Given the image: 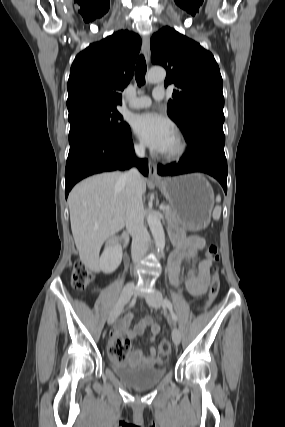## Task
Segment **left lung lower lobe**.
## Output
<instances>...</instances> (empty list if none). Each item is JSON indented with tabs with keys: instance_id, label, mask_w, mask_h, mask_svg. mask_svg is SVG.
<instances>
[{
	"instance_id": "obj_1",
	"label": "left lung lower lobe",
	"mask_w": 285,
	"mask_h": 427,
	"mask_svg": "<svg viewBox=\"0 0 285 427\" xmlns=\"http://www.w3.org/2000/svg\"><path fill=\"white\" fill-rule=\"evenodd\" d=\"M185 156L168 166H158V174L174 176L192 172H203L215 177L227 192V161L224 153L223 132L205 129L187 141Z\"/></svg>"
}]
</instances>
